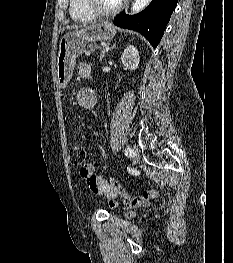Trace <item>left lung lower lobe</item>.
Listing matches in <instances>:
<instances>
[{
  "mask_svg": "<svg viewBox=\"0 0 233 263\" xmlns=\"http://www.w3.org/2000/svg\"><path fill=\"white\" fill-rule=\"evenodd\" d=\"M177 2L178 0H152L146 9L136 15L129 16L122 12L115 17L114 24L140 32L156 48Z\"/></svg>",
  "mask_w": 233,
  "mask_h": 263,
  "instance_id": "obj_1",
  "label": "left lung lower lobe"
}]
</instances>
